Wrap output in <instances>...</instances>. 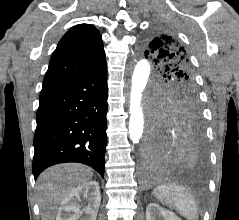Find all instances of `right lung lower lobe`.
I'll return each mask as SVG.
<instances>
[{"label": "right lung lower lobe", "mask_w": 239, "mask_h": 220, "mask_svg": "<svg viewBox=\"0 0 239 220\" xmlns=\"http://www.w3.org/2000/svg\"><path fill=\"white\" fill-rule=\"evenodd\" d=\"M107 65L43 86L34 135L33 174L47 167L79 162L104 175L107 144Z\"/></svg>", "instance_id": "obj_1"}]
</instances>
